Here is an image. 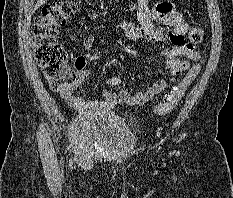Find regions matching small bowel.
Segmentation results:
<instances>
[{
    "mask_svg": "<svg viewBox=\"0 0 233 198\" xmlns=\"http://www.w3.org/2000/svg\"><path fill=\"white\" fill-rule=\"evenodd\" d=\"M137 18L139 25L135 26L129 22H122L117 25L118 29L125 32L126 36L138 41L146 39L151 42H170L173 47L163 51L166 60V70L176 78L189 65L188 60H196L199 54L186 43V35L189 31L187 22L183 16L175 11L172 3L163 1L158 3L153 10L148 7V0H138ZM164 25L171 27L166 32L157 26ZM94 37L88 35L84 39V48L87 53L77 59H81L82 64H75L78 72V79L75 86H80L88 82L89 70L85 67L86 61H96L98 54L93 52ZM76 59V60H77ZM75 60V61H76ZM132 70V69H131ZM107 85L122 87V80L119 77H111L106 81ZM167 83L163 78L155 80L151 85L143 90L130 94L125 88H122L118 95L104 90V101H89L82 97L74 96L70 91L62 93V97L72 107L79 110H97L109 112L119 105L136 106L151 101L156 95L163 92Z\"/></svg>",
    "mask_w": 233,
    "mask_h": 198,
    "instance_id": "c3829d8e",
    "label": "small bowel"
}]
</instances>
